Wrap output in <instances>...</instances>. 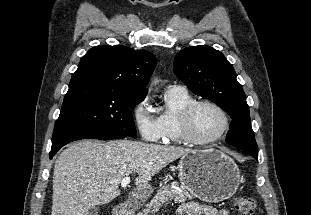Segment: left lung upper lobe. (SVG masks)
Instances as JSON below:
<instances>
[{
    "instance_id": "obj_1",
    "label": "left lung upper lobe",
    "mask_w": 311,
    "mask_h": 215,
    "mask_svg": "<svg viewBox=\"0 0 311 215\" xmlns=\"http://www.w3.org/2000/svg\"><path fill=\"white\" fill-rule=\"evenodd\" d=\"M174 73L194 94L216 103L230 115L233 122L225 139L227 143L258 154L246 95L233 66L220 51L209 46L181 50L175 56Z\"/></svg>"
}]
</instances>
